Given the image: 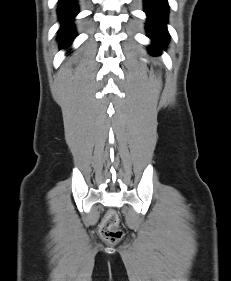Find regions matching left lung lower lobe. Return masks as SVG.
<instances>
[{
	"label": "left lung lower lobe",
	"mask_w": 231,
	"mask_h": 281,
	"mask_svg": "<svg viewBox=\"0 0 231 281\" xmlns=\"http://www.w3.org/2000/svg\"><path fill=\"white\" fill-rule=\"evenodd\" d=\"M144 8L148 15L146 31L156 44V47H150L149 51L155 55L159 53L160 48L165 49V44L169 41V33L165 26L168 14L167 0H144Z\"/></svg>",
	"instance_id": "1"
}]
</instances>
